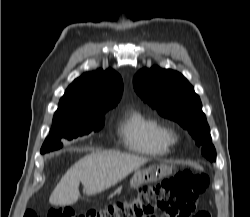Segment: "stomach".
<instances>
[{
	"label": "stomach",
	"mask_w": 250,
	"mask_h": 217,
	"mask_svg": "<svg viewBox=\"0 0 250 217\" xmlns=\"http://www.w3.org/2000/svg\"><path fill=\"white\" fill-rule=\"evenodd\" d=\"M171 172L166 164L151 165L143 170H137L130 182L131 187H138L142 184L151 183L162 179Z\"/></svg>",
	"instance_id": "obj_1"
}]
</instances>
